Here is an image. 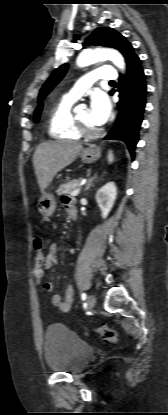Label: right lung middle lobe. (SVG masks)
<instances>
[{
	"instance_id": "obj_1",
	"label": "right lung middle lobe",
	"mask_w": 168,
	"mask_h": 415,
	"mask_svg": "<svg viewBox=\"0 0 168 415\" xmlns=\"http://www.w3.org/2000/svg\"><path fill=\"white\" fill-rule=\"evenodd\" d=\"M40 113H41V112H39V113H36V114H35V116H34V122H36V123H37V122L39 121V118H40Z\"/></svg>"
}]
</instances>
